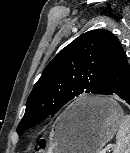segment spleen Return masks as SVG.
I'll return each mask as SVG.
<instances>
[{"instance_id": "spleen-1", "label": "spleen", "mask_w": 130, "mask_h": 153, "mask_svg": "<svg viewBox=\"0 0 130 153\" xmlns=\"http://www.w3.org/2000/svg\"><path fill=\"white\" fill-rule=\"evenodd\" d=\"M113 153H130V115L123 116L120 121Z\"/></svg>"}]
</instances>
